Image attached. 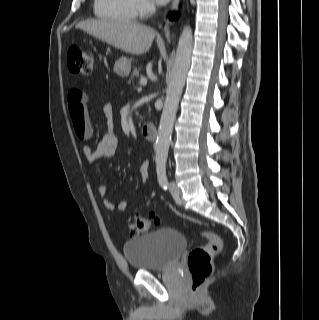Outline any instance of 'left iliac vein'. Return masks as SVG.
Instances as JSON below:
<instances>
[{
	"label": "left iliac vein",
	"mask_w": 319,
	"mask_h": 320,
	"mask_svg": "<svg viewBox=\"0 0 319 320\" xmlns=\"http://www.w3.org/2000/svg\"><path fill=\"white\" fill-rule=\"evenodd\" d=\"M169 190L174 197H178L180 194V188L173 181L169 183Z\"/></svg>",
	"instance_id": "4c4485c4"
}]
</instances>
